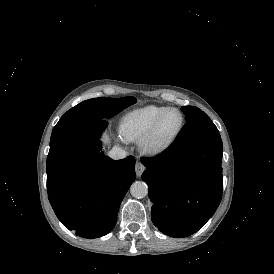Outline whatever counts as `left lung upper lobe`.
Masks as SVG:
<instances>
[{"instance_id": "5c2ea615", "label": "left lung upper lobe", "mask_w": 274, "mask_h": 274, "mask_svg": "<svg viewBox=\"0 0 274 274\" xmlns=\"http://www.w3.org/2000/svg\"><path fill=\"white\" fill-rule=\"evenodd\" d=\"M181 110L186 117V124L174 143L180 144L202 138L220 137L217 127L211 119L195 106H183Z\"/></svg>"}]
</instances>
